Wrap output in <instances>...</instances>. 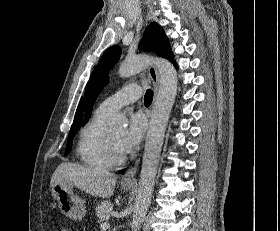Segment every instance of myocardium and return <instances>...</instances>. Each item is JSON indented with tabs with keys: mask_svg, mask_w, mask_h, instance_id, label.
<instances>
[{
	"mask_svg": "<svg viewBox=\"0 0 280 231\" xmlns=\"http://www.w3.org/2000/svg\"><path fill=\"white\" fill-rule=\"evenodd\" d=\"M105 145H106L107 158L110 163L117 164L125 159V156L116 150L112 138L108 132L106 133L105 136Z\"/></svg>",
	"mask_w": 280,
	"mask_h": 231,
	"instance_id": "f54148a6",
	"label": "myocardium"
}]
</instances>
